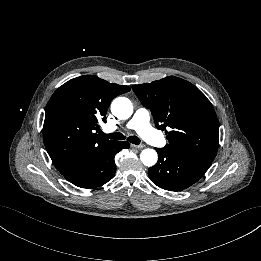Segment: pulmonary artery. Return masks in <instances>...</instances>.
<instances>
[{
    "instance_id": "obj_1",
    "label": "pulmonary artery",
    "mask_w": 261,
    "mask_h": 261,
    "mask_svg": "<svg viewBox=\"0 0 261 261\" xmlns=\"http://www.w3.org/2000/svg\"><path fill=\"white\" fill-rule=\"evenodd\" d=\"M127 127L136 130L143 139L158 144L149 133L150 113L146 108H138L131 119L127 122ZM113 129H116V127ZM163 143H165V141H163Z\"/></svg>"
}]
</instances>
